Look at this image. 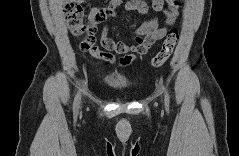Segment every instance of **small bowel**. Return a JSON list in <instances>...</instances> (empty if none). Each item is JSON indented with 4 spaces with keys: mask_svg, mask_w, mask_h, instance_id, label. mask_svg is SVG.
Returning <instances> with one entry per match:
<instances>
[{
    "mask_svg": "<svg viewBox=\"0 0 239 156\" xmlns=\"http://www.w3.org/2000/svg\"><path fill=\"white\" fill-rule=\"evenodd\" d=\"M122 5V0H110L105 8L93 7L89 12V21L94 23L97 29L100 22L96 20V15L99 11L102 10L106 12L105 19L108 17H115L116 10ZM150 7L153 11L162 13L164 26L159 25L157 18H152L143 22L133 30V37L136 44H130L126 41H114L108 37L106 31L101 33L100 44L105 50L108 52L126 54L120 59V64L123 66L132 63L137 55L146 53L151 45L163 39L168 32L167 26L173 25L179 15V3L176 0H151ZM124 8L127 11L145 13L149 8V4L141 0H131L124 4ZM88 39L89 37H86L82 43L86 42ZM95 49L94 40L92 43V51H95ZM105 57L111 58V55L106 54Z\"/></svg>",
    "mask_w": 239,
    "mask_h": 156,
    "instance_id": "obj_1",
    "label": "small bowel"
}]
</instances>
